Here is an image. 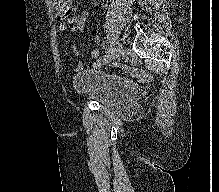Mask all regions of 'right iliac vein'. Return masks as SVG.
Returning <instances> with one entry per match:
<instances>
[{"instance_id":"63e3f726","label":"right iliac vein","mask_w":219,"mask_h":192,"mask_svg":"<svg viewBox=\"0 0 219 192\" xmlns=\"http://www.w3.org/2000/svg\"><path fill=\"white\" fill-rule=\"evenodd\" d=\"M121 51H122V46L120 44H117L113 48V52H112L110 58L108 59V61L112 62L113 60L118 59L121 56Z\"/></svg>"}]
</instances>
